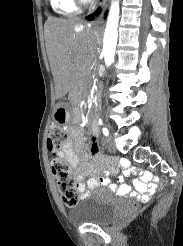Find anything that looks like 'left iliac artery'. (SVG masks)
Instances as JSON below:
<instances>
[{
	"mask_svg": "<svg viewBox=\"0 0 183 246\" xmlns=\"http://www.w3.org/2000/svg\"><path fill=\"white\" fill-rule=\"evenodd\" d=\"M102 131H103V134L105 136H108L109 135V131H108V129L106 127H103Z\"/></svg>",
	"mask_w": 183,
	"mask_h": 246,
	"instance_id": "44dca946",
	"label": "left iliac artery"
}]
</instances>
